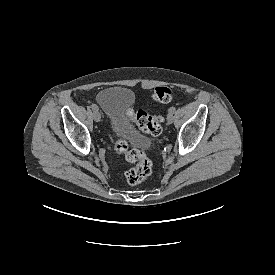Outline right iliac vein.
Masks as SVG:
<instances>
[{
    "label": "right iliac vein",
    "instance_id": "right-iliac-vein-1",
    "mask_svg": "<svg viewBox=\"0 0 275 275\" xmlns=\"http://www.w3.org/2000/svg\"><path fill=\"white\" fill-rule=\"evenodd\" d=\"M93 119H94L96 122H99V121H100L101 115H100V112L98 111V109H96V110L93 111Z\"/></svg>",
    "mask_w": 275,
    "mask_h": 275
}]
</instances>
